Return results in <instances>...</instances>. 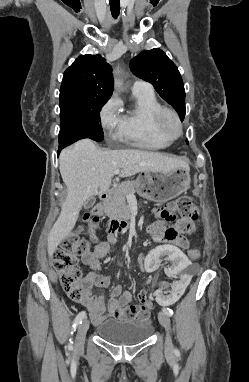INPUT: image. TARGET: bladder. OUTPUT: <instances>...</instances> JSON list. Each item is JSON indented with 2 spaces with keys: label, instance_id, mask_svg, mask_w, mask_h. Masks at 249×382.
I'll return each instance as SVG.
<instances>
[{
  "label": "bladder",
  "instance_id": "obj_1",
  "mask_svg": "<svg viewBox=\"0 0 249 382\" xmlns=\"http://www.w3.org/2000/svg\"><path fill=\"white\" fill-rule=\"evenodd\" d=\"M153 325L120 319H107L97 326L98 336L112 344L132 345L145 341L152 333Z\"/></svg>",
  "mask_w": 249,
  "mask_h": 382
}]
</instances>
